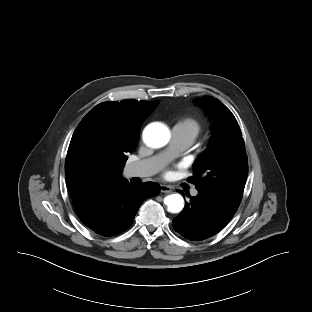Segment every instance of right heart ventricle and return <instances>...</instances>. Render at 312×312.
Segmentation results:
<instances>
[{"mask_svg": "<svg viewBox=\"0 0 312 312\" xmlns=\"http://www.w3.org/2000/svg\"><path fill=\"white\" fill-rule=\"evenodd\" d=\"M174 128L180 131L182 134L186 135L192 142L199 136L202 131L201 123L193 117H185L180 119Z\"/></svg>", "mask_w": 312, "mask_h": 312, "instance_id": "right-heart-ventricle-1", "label": "right heart ventricle"}]
</instances>
